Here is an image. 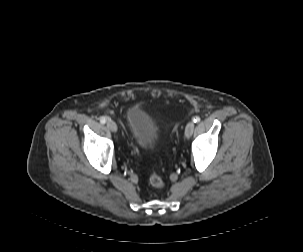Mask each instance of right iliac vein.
Here are the masks:
<instances>
[{
  "instance_id": "right-iliac-vein-1",
  "label": "right iliac vein",
  "mask_w": 303,
  "mask_h": 252,
  "mask_svg": "<svg viewBox=\"0 0 303 252\" xmlns=\"http://www.w3.org/2000/svg\"><path fill=\"white\" fill-rule=\"evenodd\" d=\"M107 127L112 132H116L117 129H118L117 124L114 121H112V120H108L107 121Z\"/></svg>"
}]
</instances>
